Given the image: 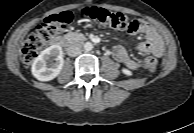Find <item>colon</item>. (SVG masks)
Masks as SVG:
<instances>
[{
  "mask_svg": "<svg viewBox=\"0 0 194 133\" xmlns=\"http://www.w3.org/2000/svg\"><path fill=\"white\" fill-rule=\"evenodd\" d=\"M81 15L103 26L116 29H126L129 22L127 16L123 13L112 12L99 7H85L81 10ZM71 21L72 14L70 12H62L46 18L43 23L38 25L29 34L22 47V56L25 65H31L54 36ZM156 66L157 61L154 58H147L143 63V68L149 71H154Z\"/></svg>",
  "mask_w": 194,
  "mask_h": 133,
  "instance_id": "obj_1",
  "label": "colon"
}]
</instances>
